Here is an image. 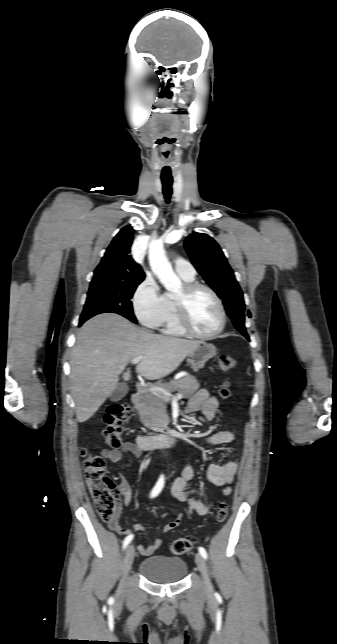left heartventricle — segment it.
I'll use <instances>...</instances> for the list:
<instances>
[{
	"instance_id": "left-heart-ventricle-1",
	"label": "left heart ventricle",
	"mask_w": 337,
	"mask_h": 644,
	"mask_svg": "<svg viewBox=\"0 0 337 644\" xmlns=\"http://www.w3.org/2000/svg\"><path fill=\"white\" fill-rule=\"evenodd\" d=\"M188 318L192 328L198 333L208 334L217 329L220 323L219 308L207 291L199 290L190 298Z\"/></svg>"
}]
</instances>
